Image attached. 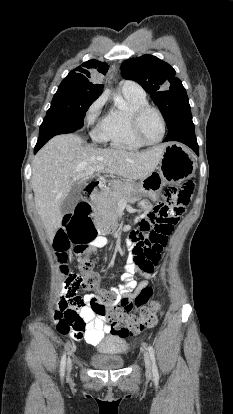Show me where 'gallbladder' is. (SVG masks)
I'll return each mask as SVG.
<instances>
[{"mask_svg": "<svg viewBox=\"0 0 233 414\" xmlns=\"http://www.w3.org/2000/svg\"><path fill=\"white\" fill-rule=\"evenodd\" d=\"M85 183H76L72 185L70 192L62 203L61 212L63 215L72 213L79 203V195L84 188Z\"/></svg>", "mask_w": 233, "mask_h": 414, "instance_id": "obj_1", "label": "gallbladder"}]
</instances>
